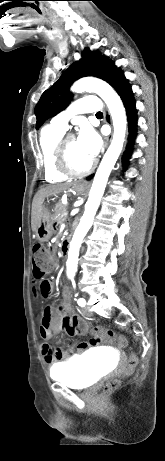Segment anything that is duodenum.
<instances>
[{
  "label": "duodenum",
  "instance_id": "1",
  "mask_svg": "<svg viewBox=\"0 0 165 461\" xmlns=\"http://www.w3.org/2000/svg\"><path fill=\"white\" fill-rule=\"evenodd\" d=\"M68 242H69V237L66 236V237H65V240H64V243H65V244H68Z\"/></svg>",
  "mask_w": 165,
  "mask_h": 461
}]
</instances>
